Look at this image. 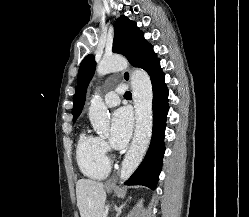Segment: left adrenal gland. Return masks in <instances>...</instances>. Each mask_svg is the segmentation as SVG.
Instances as JSON below:
<instances>
[{"mask_svg": "<svg viewBox=\"0 0 249 217\" xmlns=\"http://www.w3.org/2000/svg\"><path fill=\"white\" fill-rule=\"evenodd\" d=\"M124 205H125V204H123V205L120 206L119 208L116 207V212H117L116 217H119V215L121 214V210H122V208H123Z\"/></svg>", "mask_w": 249, "mask_h": 217, "instance_id": "obj_1", "label": "left adrenal gland"}]
</instances>
